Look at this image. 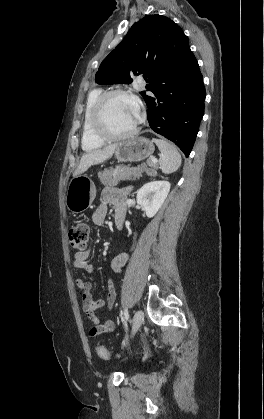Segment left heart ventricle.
Wrapping results in <instances>:
<instances>
[{"label":"left heart ventricle","mask_w":264,"mask_h":419,"mask_svg":"<svg viewBox=\"0 0 264 419\" xmlns=\"http://www.w3.org/2000/svg\"><path fill=\"white\" fill-rule=\"evenodd\" d=\"M103 119L111 133L121 134L131 130L137 123L135 102L123 96L112 97L104 107Z\"/></svg>","instance_id":"obj_1"}]
</instances>
